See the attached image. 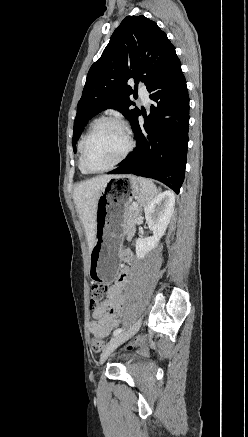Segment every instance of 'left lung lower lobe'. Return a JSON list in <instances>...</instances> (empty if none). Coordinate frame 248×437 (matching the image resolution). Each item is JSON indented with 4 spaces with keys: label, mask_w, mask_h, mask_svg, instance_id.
Here are the masks:
<instances>
[{
    "label": "left lung lower lobe",
    "mask_w": 248,
    "mask_h": 437,
    "mask_svg": "<svg viewBox=\"0 0 248 437\" xmlns=\"http://www.w3.org/2000/svg\"><path fill=\"white\" fill-rule=\"evenodd\" d=\"M147 90L150 114L143 126L138 121L140 112L132 124L136 148L108 174L153 178L178 194L185 175L189 126V96L178 57Z\"/></svg>",
    "instance_id": "0a47b994"
}]
</instances>
